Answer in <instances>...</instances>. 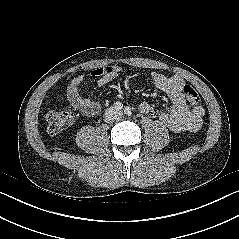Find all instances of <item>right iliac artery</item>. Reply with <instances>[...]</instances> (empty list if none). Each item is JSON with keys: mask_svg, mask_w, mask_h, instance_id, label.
I'll return each mask as SVG.
<instances>
[{"mask_svg": "<svg viewBox=\"0 0 239 239\" xmlns=\"http://www.w3.org/2000/svg\"><path fill=\"white\" fill-rule=\"evenodd\" d=\"M114 108L116 110H121L123 108V104L121 102H115L114 103Z\"/></svg>", "mask_w": 239, "mask_h": 239, "instance_id": "82829eb1", "label": "right iliac artery"}]
</instances>
